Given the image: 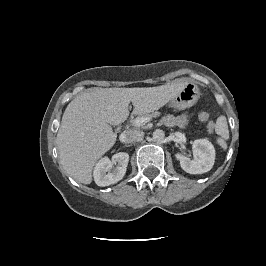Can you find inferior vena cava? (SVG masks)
Wrapping results in <instances>:
<instances>
[{"instance_id":"inferior-vena-cava-1","label":"inferior vena cava","mask_w":266,"mask_h":266,"mask_svg":"<svg viewBox=\"0 0 266 266\" xmlns=\"http://www.w3.org/2000/svg\"><path fill=\"white\" fill-rule=\"evenodd\" d=\"M144 132L139 130L129 129L122 133L121 140L124 143H133L143 138Z\"/></svg>"}]
</instances>
